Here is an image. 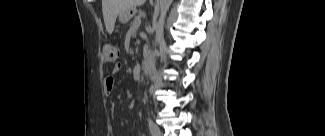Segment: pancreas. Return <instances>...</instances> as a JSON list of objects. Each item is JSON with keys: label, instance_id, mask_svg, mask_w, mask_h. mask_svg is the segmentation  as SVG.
I'll list each match as a JSON object with an SVG mask.
<instances>
[{"label": "pancreas", "instance_id": "1", "mask_svg": "<svg viewBox=\"0 0 325 136\" xmlns=\"http://www.w3.org/2000/svg\"><path fill=\"white\" fill-rule=\"evenodd\" d=\"M134 21H135V19H133V18L130 19V21H129V23H128L127 25H128L129 27H130V26L132 27V26L134 25V24H133Z\"/></svg>", "mask_w": 325, "mask_h": 136}]
</instances>
